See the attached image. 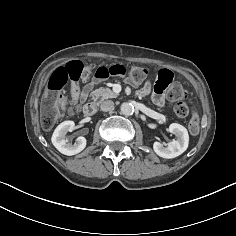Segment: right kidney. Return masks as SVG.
Here are the masks:
<instances>
[{
  "instance_id": "obj_1",
  "label": "right kidney",
  "mask_w": 236,
  "mask_h": 236,
  "mask_svg": "<svg viewBox=\"0 0 236 236\" xmlns=\"http://www.w3.org/2000/svg\"><path fill=\"white\" fill-rule=\"evenodd\" d=\"M75 129L73 121H64L54 130L51 141L55 148L64 155L72 156L78 154L86 147V139L84 137L77 138L75 144H71L65 138L68 132Z\"/></svg>"
}]
</instances>
